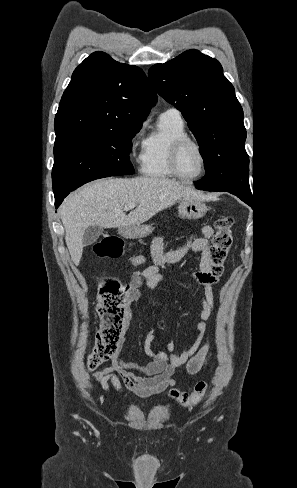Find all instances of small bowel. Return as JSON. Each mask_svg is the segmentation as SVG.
Segmentation results:
<instances>
[{
    "instance_id": "1",
    "label": "small bowel",
    "mask_w": 297,
    "mask_h": 488,
    "mask_svg": "<svg viewBox=\"0 0 297 488\" xmlns=\"http://www.w3.org/2000/svg\"><path fill=\"white\" fill-rule=\"evenodd\" d=\"M213 234L211 226H203L199 235L191 234L185 243L175 249L167 250L164 246V238L158 235L153 238L150 247L152 264L142 272L134 273L126 296V304L140 301L144 296V290L150 291L156 288L163 280L161 271L166 267L179 262L189 251L200 253L199 268L191 276V280L198 287V296L201 307L197 311L199 321L194 325L196 338L194 342L180 353L176 350L174 342L167 343L168 354L162 350H153L155 332L151 331L145 338L144 350L149 357L145 365L125 360L119 350L111 357L109 366L102 367L94 372L90 381L98 384L107 394L115 391L122 394V383L135 395L146 398L159 394L175 385L172 378L178 367L184 366L190 375L198 373L209 358L211 333L206 321L214 314L215 304L212 287L216 280L209 274L210 238ZM143 256H134L132 263L139 265L144 262ZM131 314L126 312L125 324L128 326ZM125 342L123 334L120 347ZM119 347V349H120Z\"/></svg>"
}]
</instances>
